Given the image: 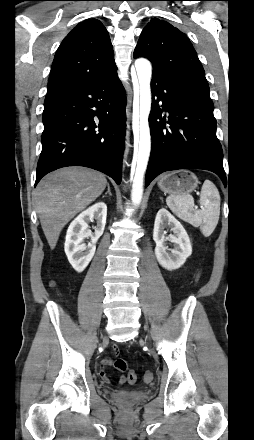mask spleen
<instances>
[{"label": "spleen", "mask_w": 254, "mask_h": 440, "mask_svg": "<svg viewBox=\"0 0 254 440\" xmlns=\"http://www.w3.org/2000/svg\"><path fill=\"white\" fill-rule=\"evenodd\" d=\"M170 210L183 221L194 227H200L205 237H209L217 226L220 215V195L217 187L210 180H205L200 195V210L194 205L189 194L170 195L166 199Z\"/></svg>", "instance_id": "1"}]
</instances>
